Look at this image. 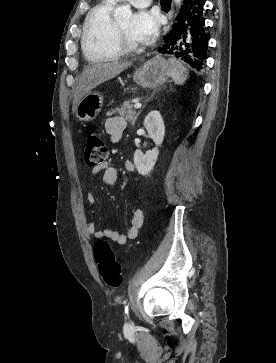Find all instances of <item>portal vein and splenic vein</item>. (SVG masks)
<instances>
[{
  "label": "portal vein and splenic vein",
  "mask_w": 276,
  "mask_h": 363,
  "mask_svg": "<svg viewBox=\"0 0 276 363\" xmlns=\"http://www.w3.org/2000/svg\"><path fill=\"white\" fill-rule=\"evenodd\" d=\"M141 106H142V104L139 103V102H137V103L134 104V108L135 109H139V108H141Z\"/></svg>",
  "instance_id": "obj_1"
}]
</instances>
